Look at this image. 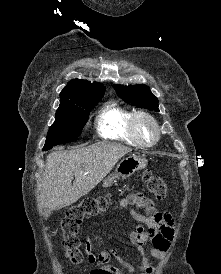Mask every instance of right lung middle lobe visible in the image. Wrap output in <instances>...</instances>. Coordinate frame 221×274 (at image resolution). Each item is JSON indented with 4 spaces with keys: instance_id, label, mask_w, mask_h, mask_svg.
<instances>
[{
    "instance_id": "obj_1",
    "label": "right lung middle lobe",
    "mask_w": 221,
    "mask_h": 274,
    "mask_svg": "<svg viewBox=\"0 0 221 274\" xmlns=\"http://www.w3.org/2000/svg\"><path fill=\"white\" fill-rule=\"evenodd\" d=\"M103 96L104 94H100L61 103L56 111L55 122L49 128L43 150L76 139L89 118V112Z\"/></svg>"
}]
</instances>
